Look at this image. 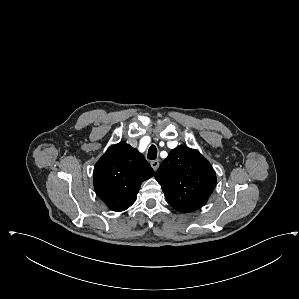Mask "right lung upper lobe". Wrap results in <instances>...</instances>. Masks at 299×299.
I'll use <instances>...</instances> for the list:
<instances>
[{"instance_id": "right-lung-upper-lobe-1", "label": "right lung upper lobe", "mask_w": 299, "mask_h": 299, "mask_svg": "<svg viewBox=\"0 0 299 299\" xmlns=\"http://www.w3.org/2000/svg\"><path fill=\"white\" fill-rule=\"evenodd\" d=\"M154 175L144 156L130 145L111 146L94 167V188L98 197L113 211L129 208L140 185Z\"/></svg>"}]
</instances>
